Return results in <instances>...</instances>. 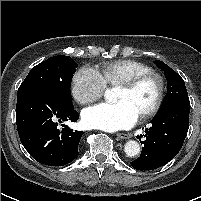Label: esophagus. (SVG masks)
Here are the masks:
<instances>
[{"mask_svg": "<svg viewBox=\"0 0 201 201\" xmlns=\"http://www.w3.org/2000/svg\"><path fill=\"white\" fill-rule=\"evenodd\" d=\"M117 136L120 139H129L131 137L130 134H128V133H118Z\"/></svg>", "mask_w": 201, "mask_h": 201, "instance_id": "1", "label": "esophagus"}]
</instances>
